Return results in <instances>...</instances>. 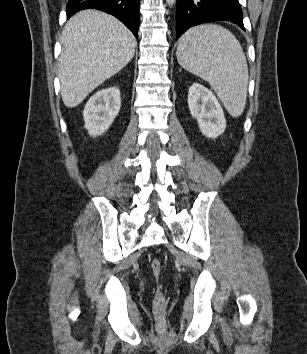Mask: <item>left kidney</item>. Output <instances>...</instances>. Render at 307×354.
I'll list each match as a JSON object with an SVG mask.
<instances>
[{"instance_id": "1", "label": "left kidney", "mask_w": 307, "mask_h": 354, "mask_svg": "<svg viewBox=\"0 0 307 354\" xmlns=\"http://www.w3.org/2000/svg\"><path fill=\"white\" fill-rule=\"evenodd\" d=\"M188 106L199 129L208 138H217L226 128V119L215 95L201 84L194 83L188 92Z\"/></svg>"}]
</instances>
